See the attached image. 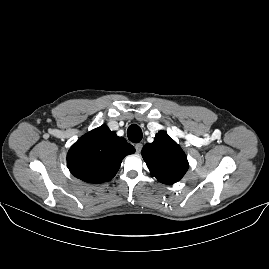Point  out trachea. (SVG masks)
<instances>
[{
	"instance_id": "1",
	"label": "trachea",
	"mask_w": 269,
	"mask_h": 269,
	"mask_svg": "<svg viewBox=\"0 0 269 269\" xmlns=\"http://www.w3.org/2000/svg\"><path fill=\"white\" fill-rule=\"evenodd\" d=\"M127 135L128 139L133 143H139L143 137L141 128L136 124H132L131 126H129L127 130Z\"/></svg>"
}]
</instances>
